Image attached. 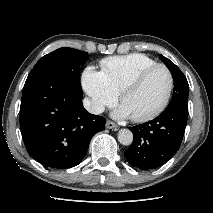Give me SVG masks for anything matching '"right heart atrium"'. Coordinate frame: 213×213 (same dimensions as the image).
Wrapping results in <instances>:
<instances>
[{
  "label": "right heart atrium",
  "mask_w": 213,
  "mask_h": 213,
  "mask_svg": "<svg viewBox=\"0 0 213 213\" xmlns=\"http://www.w3.org/2000/svg\"><path fill=\"white\" fill-rule=\"evenodd\" d=\"M82 86L89 97V107L94 113L116 102L117 95L110 89L101 71L87 67L82 74Z\"/></svg>",
  "instance_id": "1"
}]
</instances>
